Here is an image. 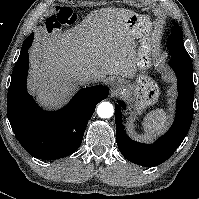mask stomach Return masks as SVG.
<instances>
[{"mask_svg":"<svg viewBox=\"0 0 199 199\" xmlns=\"http://www.w3.org/2000/svg\"><path fill=\"white\" fill-rule=\"evenodd\" d=\"M126 26L130 33L138 37L136 40L140 45L137 48L136 65L140 74L134 83L125 80L122 82L125 95L131 97L134 111L141 114L147 107L154 105L160 95L157 83L145 73L152 60V47L147 38L151 30V21L145 15L134 13L126 20Z\"/></svg>","mask_w":199,"mask_h":199,"instance_id":"0dacf381","label":"stomach"}]
</instances>
